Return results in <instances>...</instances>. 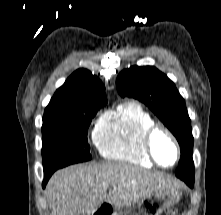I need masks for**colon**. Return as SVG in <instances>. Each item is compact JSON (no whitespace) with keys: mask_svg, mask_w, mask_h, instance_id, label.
Segmentation results:
<instances>
[{"mask_svg":"<svg viewBox=\"0 0 221 215\" xmlns=\"http://www.w3.org/2000/svg\"><path fill=\"white\" fill-rule=\"evenodd\" d=\"M167 215H176V211L175 210H170Z\"/></svg>","mask_w":221,"mask_h":215,"instance_id":"1","label":"colon"}]
</instances>
